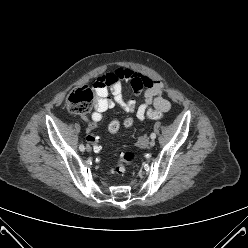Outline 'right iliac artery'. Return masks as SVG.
<instances>
[{
  "mask_svg": "<svg viewBox=\"0 0 248 248\" xmlns=\"http://www.w3.org/2000/svg\"><path fill=\"white\" fill-rule=\"evenodd\" d=\"M79 149H80V151H84V150H85L84 145H83V144H81V145L79 146Z\"/></svg>",
  "mask_w": 248,
  "mask_h": 248,
  "instance_id": "82829eb1",
  "label": "right iliac artery"
}]
</instances>
